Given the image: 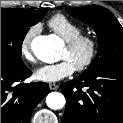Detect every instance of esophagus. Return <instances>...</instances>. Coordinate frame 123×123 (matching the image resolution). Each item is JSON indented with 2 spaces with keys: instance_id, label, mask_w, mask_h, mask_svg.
Wrapping results in <instances>:
<instances>
[{
  "instance_id": "obj_1",
  "label": "esophagus",
  "mask_w": 123,
  "mask_h": 123,
  "mask_svg": "<svg viewBox=\"0 0 123 123\" xmlns=\"http://www.w3.org/2000/svg\"><path fill=\"white\" fill-rule=\"evenodd\" d=\"M49 88H50V90H57L59 88V86L55 83H50Z\"/></svg>"
}]
</instances>
